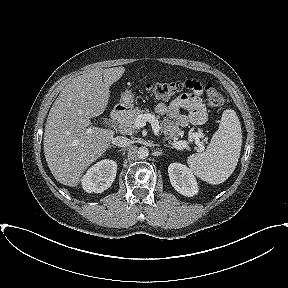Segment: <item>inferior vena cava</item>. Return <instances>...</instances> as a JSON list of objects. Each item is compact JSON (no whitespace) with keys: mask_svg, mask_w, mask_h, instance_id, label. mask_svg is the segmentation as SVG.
<instances>
[{"mask_svg":"<svg viewBox=\"0 0 288 288\" xmlns=\"http://www.w3.org/2000/svg\"><path fill=\"white\" fill-rule=\"evenodd\" d=\"M112 144L119 146V147H125L130 144V139L124 136H117L112 139Z\"/></svg>","mask_w":288,"mask_h":288,"instance_id":"602c4592","label":"inferior vena cava"}]
</instances>
